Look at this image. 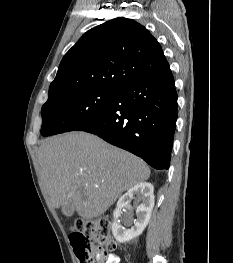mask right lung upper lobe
<instances>
[{"label":"right lung upper lobe","instance_id":"right-lung-upper-lobe-1","mask_svg":"<svg viewBox=\"0 0 233 263\" xmlns=\"http://www.w3.org/2000/svg\"><path fill=\"white\" fill-rule=\"evenodd\" d=\"M169 69L160 44L145 27L116 18L87 31L65 54L49 97L85 88L118 90Z\"/></svg>","mask_w":233,"mask_h":263}]
</instances>
